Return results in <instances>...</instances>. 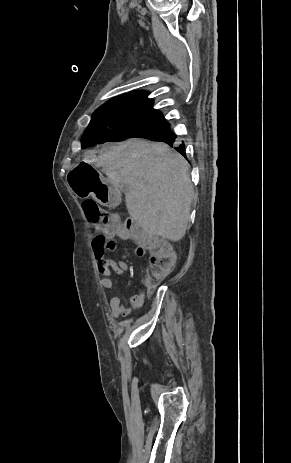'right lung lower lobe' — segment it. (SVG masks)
Instances as JSON below:
<instances>
[{"instance_id":"98d812e1","label":"right lung lower lobe","mask_w":291,"mask_h":463,"mask_svg":"<svg viewBox=\"0 0 291 463\" xmlns=\"http://www.w3.org/2000/svg\"><path fill=\"white\" fill-rule=\"evenodd\" d=\"M176 135L169 129H165L162 132H159L153 136L147 137L146 139L152 140V141H160V142H165L171 147H174L175 150H177L180 154H182L184 157H186L185 154V147L184 143L176 147Z\"/></svg>"}]
</instances>
